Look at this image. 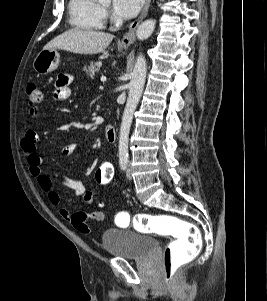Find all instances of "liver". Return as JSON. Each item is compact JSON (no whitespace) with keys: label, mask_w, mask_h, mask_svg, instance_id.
Returning a JSON list of instances; mask_svg holds the SVG:
<instances>
[{"label":"liver","mask_w":267,"mask_h":301,"mask_svg":"<svg viewBox=\"0 0 267 301\" xmlns=\"http://www.w3.org/2000/svg\"><path fill=\"white\" fill-rule=\"evenodd\" d=\"M109 33L70 29L55 37L43 49H62L78 54H97L103 52L113 40Z\"/></svg>","instance_id":"6515ba94"}]
</instances>
